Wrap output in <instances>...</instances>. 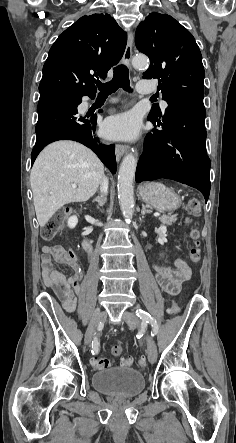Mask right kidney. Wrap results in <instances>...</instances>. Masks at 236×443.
<instances>
[{"instance_id":"ca27d5eb","label":"right kidney","mask_w":236,"mask_h":443,"mask_svg":"<svg viewBox=\"0 0 236 443\" xmlns=\"http://www.w3.org/2000/svg\"><path fill=\"white\" fill-rule=\"evenodd\" d=\"M78 223V218L76 216H72L68 219V226L70 228H74Z\"/></svg>"}]
</instances>
